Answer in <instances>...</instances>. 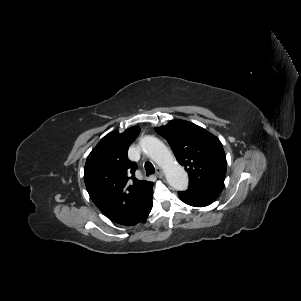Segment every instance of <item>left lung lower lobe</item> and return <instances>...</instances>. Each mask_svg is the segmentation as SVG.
<instances>
[{
    "label": "left lung lower lobe",
    "instance_id": "obj_1",
    "mask_svg": "<svg viewBox=\"0 0 301 301\" xmlns=\"http://www.w3.org/2000/svg\"><path fill=\"white\" fill-rule=\"evenodd\" d=\"M178 195L184 203L190 206L205 207L213 203L219 193L189 186L186 191L178 192Z\"/></svg>",
    "mask_w": 301,
    "mask_h": 301
}]
</instances>
